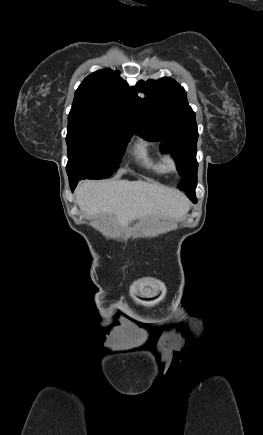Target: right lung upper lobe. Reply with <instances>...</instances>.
<instances>
[{
    "mask_svg": "<svg viewBox=\"0 0 263 435\" xmlns=\"http://www.w3.org/2000/svg\"><path fill=\"white\" fill-rule=\"evenodd\" d=\"M133 91L119 72L97 71L86 77L75 92L68 117L82 116L119 129L135 131L137 110Z\"/></svg>",
    "mask_w": 263,
    "mask_h": 435,
    "instance_id": "right-lung-upper-lobe-1",
    "label": "right lung upper lobe"
}]
</instances>
